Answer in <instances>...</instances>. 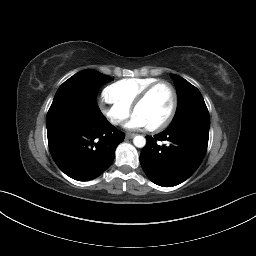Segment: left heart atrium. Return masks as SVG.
Returning <instances> with one entry per match:
<instances>
[{
	"instance_id": "1",
	"label": "left heart atrium",
	"mask_w": 256,
	"mask_h": 256,
	"mask_svg": "<svg viewBox=\"0 0 256 256\" xmlns=\"http://www.w3.org/2000/svg\"><path fill=\"white\" fill-rule=\"evenodd\" d=\"M124 127L127 130L133 131V130L143 129V128H146L148 126L146 125L145 121L139 115L134 113L131 116V118L126 122Z\"/></svg>"
}]
</instances>
